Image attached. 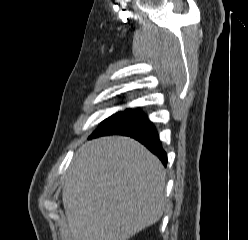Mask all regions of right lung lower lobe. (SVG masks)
<instances>
[{
	"instance_id": "98d812e1",
	"label": "right lung lower lobe",
	"mask_w": 248,
	"mask_h": 240,
	"mask_svg": "<svg viewBox=\"0 0 248 240\" xmlns=\"http://www.w3.org/2000/svg\"><path fill=\"white\" fill-rule=\"evenodd\" d=\"M105 135L130 136L155 154L166 166L167 154L163 150L156 128L139 110L126 109L104 120L89 139Z\"/></svg>"
}]
</instances>
